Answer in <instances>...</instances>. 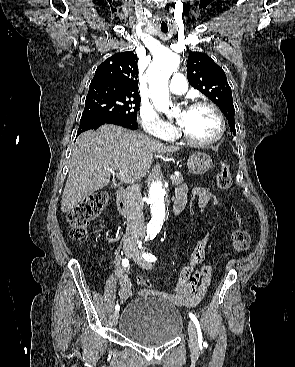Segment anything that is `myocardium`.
I'll use <instances>...</instances> for the list:
<instances>
[{"mask_svg": "<svg viewBox=\"0 0 295 367\" xmlns=\"http://www.w3.org/2000/svg\"><path fill=\"white\" fill-rule=\"evenodd\" d=\"M197 107H209L216 114L218 122H219V130H218L217 134L214 137H212L211 139H208V140H197V139H194L193 137H191L189 134H187L180 127L179 128V135L186 142H188L189 144L194 145V146L204 147V146L213 145V144L217 143L223 137V135L225 133L226 123H225L224 116H223L221 110L214 103H212L210 101H207V100L195 101L190 105L189 109L197 108Z\"/></svg>", "mask_w": 295, "mask_h": 367, "instance_id": "f54148a6", "label": "myocardium"}]
</instances>
